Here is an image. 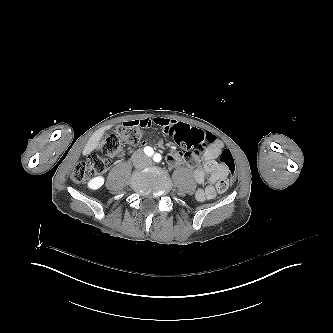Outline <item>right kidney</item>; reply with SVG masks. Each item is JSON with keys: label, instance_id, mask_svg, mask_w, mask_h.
Segmentation results:
<instances>
[{"label": "right kidney", "instance_id": "obj_1", "mask_svg": "<svg viewBox=\"0 0 333 333\" xmlns=\"http://www.w3.org/2000/svg\"><path fill=\"white\" fill-rule=\"evenodd\" d=\"M105 184V177L103 175H97L86 183V188L89 190H98Z\"/></svg>", "mask_w": 333, "mask_h": 333}]
</instances>
